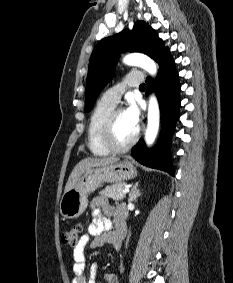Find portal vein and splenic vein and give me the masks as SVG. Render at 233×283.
<instances>
[{
	"label": "portal vein and splenic vein",
	"instance_id": "1",
	"mask_svg": "<svg viewBox=\"0 0 233 283\" xmlns=\"http://www.w3.org/2000/svg\"><path fill=\"white\" fill-rule=\"evenodd\" d=\"M129 191H130V189H129L128 187H125V188L121 191V193L126 194V193H128Z\"/></svg>",
	"mask_w": 233,
	"mask_h": 283
}]
</instances>
